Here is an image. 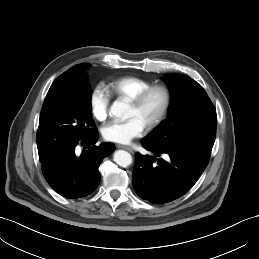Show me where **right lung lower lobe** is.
<instances>
[{
	"label": "right lung lower lobe",
	"mask_w": 259,
	"mask_h": 259,
	"mask_svg": "<svg viewBox=\"0 0 259 259\" xmlns=\"http://www.w3.org/2000/svg\"><path fill=\"white\" fill-rule=\"evenodd\" d=\"M98 139L94 131L85 137L82 144H93ZM75 147L65 152L39 158L41 169L47 183L60 195L77 199L91 194L99 185L101 175L98 167L104 157L115 150L113 143H103L92 146L76 156Z\"/></svg>",
	"instance_id": "1"
}]
</instances>
